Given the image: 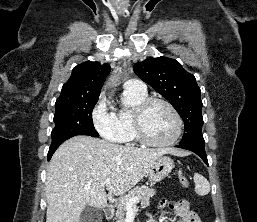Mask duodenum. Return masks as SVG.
Returning a JSON list of instances; mask_svg holds the SVG:
<instances>
[{"mask_svg":"<svg viewBox=\"0 0 257 222\" xmlns=\"http://www.w3.org/2000/svg\"><path fill=\"white\" fill-rule=\"evenodd\" d=\"M114 208L111 204H107L103 207L104 216L106 218H111L113 216Z\"/></svg>","mask_w":257,"mask_h":222,"instance_id":"1","label":"duodenum"}]
</instances>
